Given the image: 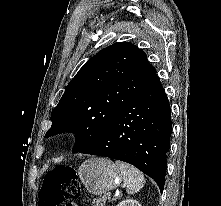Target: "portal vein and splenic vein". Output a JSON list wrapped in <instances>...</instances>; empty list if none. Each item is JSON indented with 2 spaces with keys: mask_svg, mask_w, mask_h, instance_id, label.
Masks as SVG:
<instances>
[{
  "mask_svg": "<svg viewBox=\"0 0 221 206\" xmlns=\"http://www.w3.org/2000/svg\"><path fill=\"white\" fill-rule=\"evenodd\" d=\"M107 197L110 198L111 197V193H107Z\"/></svg>",
  "mask_w": 221,
  "mask_h": 206,
  "instance_id": "18ae733b",
  "label": "portal vein and splenic vein"
}]
</instances>
